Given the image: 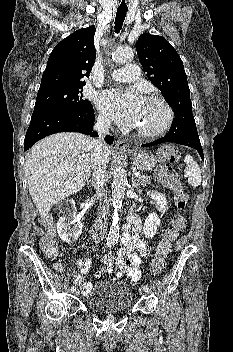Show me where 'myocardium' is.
Instances as JSON below:
<instances>
[{
	"label": "myocardium",
	"instance_id": "obj_1",
	"mask_svg": "<svg viewBox=\"0 0 233 352\" xmlns=\"http://www.w3.org/2000/svg\"><path fill=\"white\" fill-rule=\"evenodd\" d=\"M144 100H153V101L160 103L166 113V117H165L164 122L156 129H153V130H141V129H137V128L135 129L136 133L138 135H140L141 137L154 138V137H157V136L163 134L165 131H167L169 129V127L171 126L173 119H174V111H173L172 107L170 106V104L166 101V99H164L161 95L149 94L144 98Z\"/></svg>",
	"mask_w": 233,
	"mask_h": 352
}]
</instances>
